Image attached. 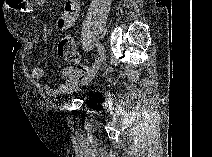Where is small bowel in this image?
<instances>
[{"label": "small bowel", "mask_w": 212, "mask_h": 157, "mask_svg": "<svg viewBox=\"0 0 212 157\" xmlns=\"http://www.w3.org/2000/svg\"><path fill=\"white\" fill-rule=\"evenodd\" d=\"M7 6L11 10H28L31 7V3L25 0H7ZM80 12V3L77 0H67L64 3L63 10L57 21V27L60 30L70 29ZM28 50L34 48L32 41L27 42ZM31 78L40 80L45 76V68L42 66L34 67L30 72ZM62 81L57 83L53 88L46 87V90L54 95L65 94L70 92L73 87L78 84L80 79L75 74V67H65L61 72Z\"/></svg>", "instance_id": "1"}]
</instances>
